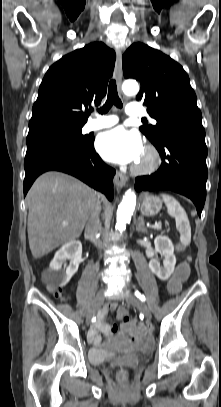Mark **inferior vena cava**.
Returning <instances> with one entry per match:
<instances>
[{"instance_id": "obj_1", "label": "inferior vena cava", "mask_w": 221, "mask_h": 407, "mask_svg": "<svg viewBox=\"0 0 221 407\" xmlns=\"http://www.w3.org/2000/svg\"><path fill=\"white\" fill-rule=\"evenodd\" d=\"M100 210H101L100 204L98 202L97 203L95 202L85 226V235L91 238L97 247L101 246L100 241L96 239V236L100 228L99 220Z\"/></svg>"}]
</instances>
